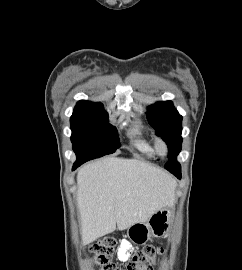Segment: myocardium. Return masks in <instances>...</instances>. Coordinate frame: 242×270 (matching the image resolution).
<instances>
[{"mask_svg":"<svg viewBox=\"0 0 242 270\" xmlns=\"http://www.w3.org/2000/svg\"><path fill=\"white\" fill-rule=\"evenodd\" d=\"M155 152L160 156H166L168 153V145L162 138H157L154 144Z\"/></svg>","mask_w":242,"mask_h":270,"instance_id":"obj_1","label":"myocardium"}]
</instances>
